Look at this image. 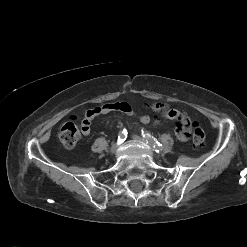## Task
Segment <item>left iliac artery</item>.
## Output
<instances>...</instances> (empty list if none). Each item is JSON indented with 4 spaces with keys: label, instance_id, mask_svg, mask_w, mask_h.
<instances>
[{
    "label": "left iliac artery",
    "instance_id": "1",
    "mask_svg": "<svg viewBox=\"0 0 247 247\" xmlns=\"http://www.w3.org/2000/svg\"><path fill=\"white\" fill-rule=\"evenodd\" d=\"M142 136L146 139V142L150 146H152L157 153L163 150L162 144L159 143L154 137H152L147 131L142 130Z\"/></svg>",
    "mask_w": 247,
    "mask_h": 247
}]
</instances>
